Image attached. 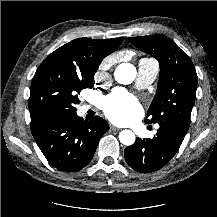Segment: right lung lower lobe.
<instances>
[{"mask_svg": "<svg viewBox=\"0 0 217 217\" xmlns=\"http://www.w3.org/2000/svg\"><path fill=\"white\" fill-rule=\"evenodd\" d=\"M109 125L99 116L90 121L59 114L31 121V132L48 162L60 171L75 172L92 159Z\"/></svg>", "mask_w": 217, "mask_h": 217, "instance_id": "obj_1", "label": "right lung lower lobe"}]
</instances>
